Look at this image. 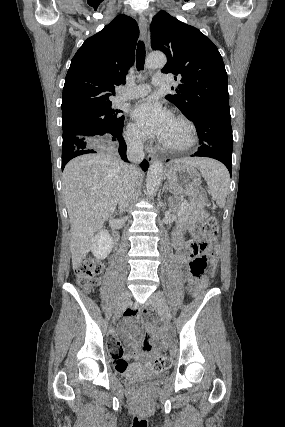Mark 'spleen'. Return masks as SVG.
Masks as SVG:
<instances>
[{
    "instance_id": "obj_1",
    "label": "spleen",
    "mask_w": 285,
    "mask_h": 427,
    "mask_svg": "<svg viewBox=\"0 0 285 427\" xmlns=\"http://www.w3.org/2000/svg\"><path fill=\"white\" fill-rule=\"evenodd\" d=\"M212 161L209 166L200 171L208 185L210 194L216 200L218 206L223 208L229 192L230 175L221 163Z\"/></svg>"
}]
</instances>
